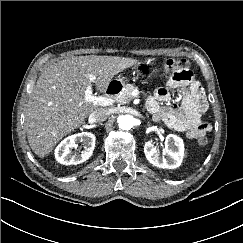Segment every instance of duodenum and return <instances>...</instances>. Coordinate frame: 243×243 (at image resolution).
I'll return each mask as SVG.
<instances>
[{"mask_svg":"<svg viewBox=\"0 0 243 243\" xmlns=\"http://www.w3.org/2000/svg\"><path fill=\"white\" fill-rule=\"evenodd\" d=\"M121 90V85L117 82L110 83L106 88V94L109 96L117 95Z\"/></svg>","mask_w":243,"mask_h":243,"instance_id":"duodenum-1","label":"duodenum"}]
</instances>
